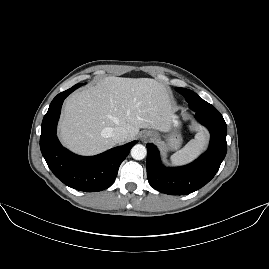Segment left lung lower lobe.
Returning <instances> with one entry per match:
<instances>
[{
  "label": "left lung lower lobe",
  "mask_w": 269,
  "mask_h": 269,
  "mask_svg": "<svg viewBox=\"0 0 269 269\" xmlns=\"http://www.w3.org/2000/svg\"><path fill=\"white\" fill-rule=\"evenodd\" d=\"M197 120L206 126L211 134L208 150L194 162L167 168L160 163L155 145H146L147 177L150 185L165 194L187 195L207 184L218 171L227 151L226 123L217 109L193 110Z\"/></svg>",
  "instance_id": "left-lung-lower-lobe-1"
}]
</instances>
